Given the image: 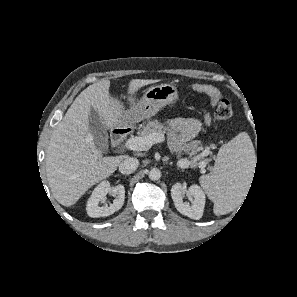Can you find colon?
Instances as JSON below:
<instances>
[{"label": "colon", "mask_w": 297, "mask_h": 297, "mask_svg": "<svg viewBox=\"0 0 297 297\" xmlns=\"http://www.w3.org/2000/svg\"><path fill=\"white\" fill-rule=\"evenodd\" d=\"M193 91L205 93L210 99V104L214 109V115L217 120L226 121L233 116L231 104L224 99L220 93L212 87L204 84H195L192 87Z\"/></svg>", "instance_id": "colon-1"}]
</instances>
